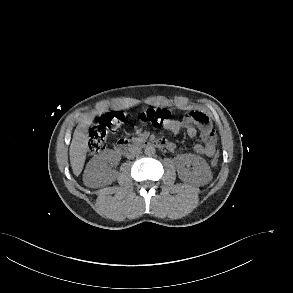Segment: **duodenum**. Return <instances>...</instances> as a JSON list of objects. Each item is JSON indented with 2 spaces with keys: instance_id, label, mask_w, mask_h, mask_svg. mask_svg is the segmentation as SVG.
<instances>
[{
  "instance_id": "duodenum-1",
  "label": "duodenum",
  "mask_w": 293,
  "mask_h": 293,
  "mask_svg": "<svg viewBox=\"0 0 293 293\" xmlns=\"http://www.w3.org/2000/svg\"><path fill=\"white\" fill-rule=\"evenodd\" d=\"M143 146H154L159 149H164L167 148V143L162 139H155L144 142ZM138 147L139 145L126 138L119 139L115 144V150L123 155H131Z\"/></svg>"
}]
</instances>
